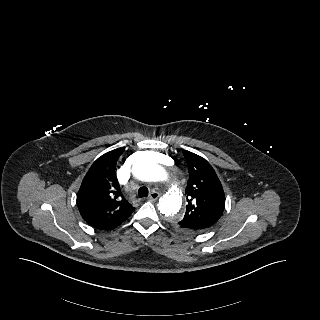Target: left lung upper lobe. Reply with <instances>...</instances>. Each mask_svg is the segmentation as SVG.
Masks as SVG:
<instances>
[{
    "mask_svg": "<svg viewBox=\"0 0 320 320\" xmlns=\"http://www.w3.org/2000/svg\"><path fill=\"white\" fill-rule=\"evenodd\" d=\"M189 179L186 212L177 226H187L194 231H204L221 217L225 207V196L221 182L212 166L202 157L183 151Z\"/></svg>",
    "mask_w": 320,
    "mask_h": 320,
    "instance_id": "1",
    "label": "left lung upper lobe"
}]
</instances>
